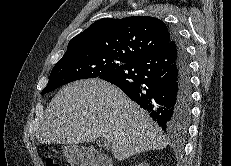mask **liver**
I'll use <instances>...</instances> for the list:
<instances>
[{
    "label": "liver",
    "instance_id": "1",
    "mask_svg": "<svg viewBox=\"0 0 231 166\" xmlns=\"http://www.w3.org/2000/svg\"><path fill=\"white\" fill-rule=\"evenodd\" d=\"M36 138L43 144L67 145L107 138L118 161L167 145L146 111L99 78L64 86L46 108Z\"/></svg>",
    "mask_w": 231,
    "mask_h": 166
}]
</instances>
